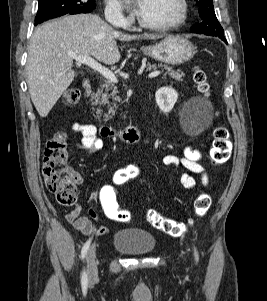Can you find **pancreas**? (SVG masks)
I'll return each instance as SVG.
<instances>
[{
  "mask_svg": "<svg viewBox=\"0 0 267 301\" xmlns=\"http://www.w3.org/2000/svg\"><path fill=\"white\" fill-rule=\"evenodd\" d=\"M147 69H156L158 67H162L161 65L157 64H150L148 63ZM164 69L167 71L166 74H169L172 78L175 80L181 81L184 74L180 70H173L172 67L165 66ZM117 88L109 81H105L104 84L101 85V88L97 91V93L93 94L92 100H94V105H100V106H107L109 108V112L114 113L115 109H117L116 101H119V98L117 97ZM112 100V102H110ZM108 119V116L106 115V120Z\"/></svg>",
  "mask_w": 267,
  "mask_h": 301,
  "instance_id": "obj_1",
  "label": "pancreas"
}]
</instances>
